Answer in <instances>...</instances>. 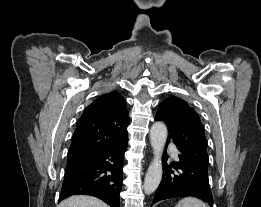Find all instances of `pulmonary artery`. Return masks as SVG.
Here are the masks:
<instances>
[{"instance_id": "obj_1", "label": "pulmonary artery", "mask_w": 261, "mask_h": 207, "mask_svg": "<svg viewBox=\"0 0 261 207\" xmlns=\"http://www.w3.org/2000/svg\"><path fill=\"white\" fill-rule=\"evenodd\" d=\"M171 149L173 150V156L175 157V158H177V154H176V152H175V150L171 147Z\"/></svg>"}]
</instances>
